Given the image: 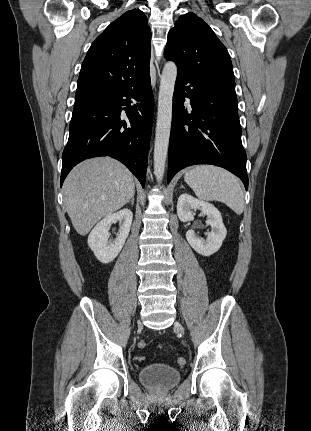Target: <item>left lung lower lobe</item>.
<instances>
[{"label":"left lung lower lobe","mask_w":311,"mask_h":431,"mask_svg":"<svg viewBox=\"0 0 311 431\" xmlns=\"http://www.w3.org/2000/svg\"><path fill=\"white\" fill-rule=\"evenodd\" d=\"M185 97L190 98L192 111L184 108ZM241 133L235 87L202 82L178 72L173 95L168 183L187 166L212 164L238 176L247 190V156Z\"/></svg>","instance_id":"obj_1"}]
</instances>
